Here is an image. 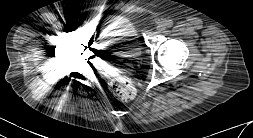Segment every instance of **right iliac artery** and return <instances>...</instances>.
<instances>
[{"label": "right iliac artery", "instance_id": "obj_1", "mask_svg": "<svg viewBox=\"0 0 253 138\" xmlns=\"http://www.w3.org/2000/svg\"><path fill=\"white\" fill-rule=\"evenodd\" d=\"M72 24H73V21H72L71 19H68V20L66 21V25H67L68 27H71Z\"/></svg>", "mask_w": 253, "mask_h": 138}]
</instances>
